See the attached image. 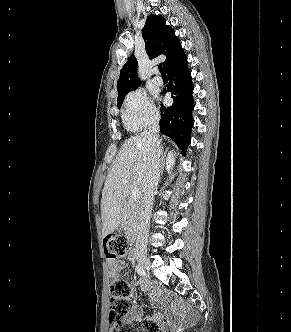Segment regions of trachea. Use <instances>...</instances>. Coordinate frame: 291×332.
Returning a JSON list of instances; mask_svg holds the SVG:
<instances>
[{"mask_svg":"<svg viewBox=\"0 0 291 332\" xmlns=\"http://www.w3.org/2000/svg\"><path fill=\"white\" fill-rule=\"evenodd\" d=\"M158 68H159L160 73L162 75H165V71L163 70L162 65H159Z\"/></svg>","mask_w":291,"mask_h":332,"instance_id":"1","label":"trachea"}]
</instances>
